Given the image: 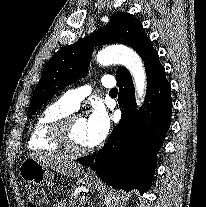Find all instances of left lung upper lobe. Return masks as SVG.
Instances as JSON below:
<instances>
[{
  "label": "left lung upper lobe",
  "mask_w": 206,
  "mask_h": 207,
  "mask_svg": "<svg viewBox=\"0 0 206 207\" xmlns=\"http://www.w3.org/2000/svg\"><path fill=\"white\" fill-rule=\"evenodd\" d=\"M110 43L129 45L140 57L152 46L137 18L124 12L115 14L104 27L60 49L47 62L41 80L36 86L27 116L31 117L58 90L85 76L94 47ZM127 73L129 71L126 68H119L116 79Z\"/></svg>",
  "instance_id": "1"
}]
</instances>
